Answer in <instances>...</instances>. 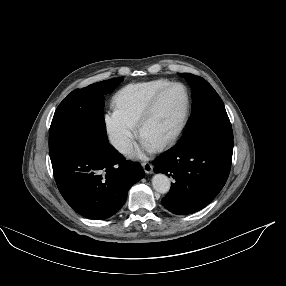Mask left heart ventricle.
Returning a JSON list of instances; mask_svg holds the SVG:
<instances>
[{"instance_id":"1","label":"left heart ventricle","mask_w":286,"mask_h":286,"mask_svg":"<svg viewBox=\"0 0 286 286\" xmlns=\"http://www.w3.org/2000/svg\"><path fill=\"white\" fill-rule=\"evenodd\" d=\"M185 106V96L181 88L170 89L158 102L153 114L145 123L142 137L152 145L167 138L179 125Z\"/></svg>"}]
</instances>
